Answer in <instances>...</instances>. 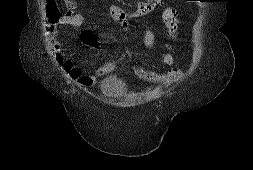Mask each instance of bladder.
<instances>
[{"label":"bladder","instance_id":"31cf9c89","mask_svg":"<svg viewBox=\"0 0 253 170\" xmlns=\"http://www.w3.org/2000/svg\"><path fill=\"white\" fill-rule=\"evenodd\" d=\"M124 81L117 75H109L101 83V91L108 97H119L124 92Z\"/></svg>","mask_w":253,"mask_h":170}]
</instances>
